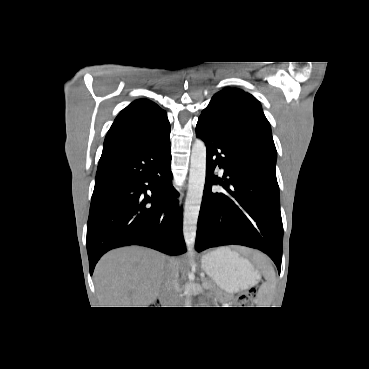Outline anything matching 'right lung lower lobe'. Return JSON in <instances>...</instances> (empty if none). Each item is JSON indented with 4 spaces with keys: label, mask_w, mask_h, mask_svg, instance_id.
I'll return each instance as SVG.
<instances>
[{
    "label": "right lung lower lobe",
    "mask_w": 369,
    "mask_h": 369,
    "mask_svg": "<svg viewBox=\"0 0 369 369\" xmlns=\"http://www.w3.org/2000/svg\"><path fill=\"white\" fill-rule=\"evenodd\" d=\"M169 134L99 161L87 223L91 275L103 254L121 246L186 252Z\"/></svg>",
    "instance_id": "right-lung-lower-lobe-1"
}]
</instances>
